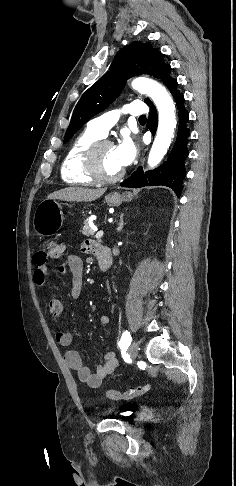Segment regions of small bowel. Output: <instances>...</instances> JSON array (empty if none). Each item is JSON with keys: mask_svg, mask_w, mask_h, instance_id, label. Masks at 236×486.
Instances as JSON below:
<instances>
[{"mask_svg": "<svg viewBox=\"0 0 236 486\" xmlns=\"http://www.w3.org/2000/svg\"><path fill=\"white\" fill-rule=\"evenodd\" d=\"M96 245L97 243L92 240H85L81 244V250L87 254H96ZM83 267L82 259L76 255L69 256L65 263L58 267L60 273H65L67 268L71 272L72 284L69 288V295L73 299L79 298L82 291ZM34 281L40 287H44L47 284V264L41 252L36 256ZM47 307L52 325L59 327L61 324L62 304L56 293L51 295ZM99 321L102 325H108L110 318L106 312H102ZM55 338L60 345L66 348L64 360L67 366L77 373L81 382L86 383L91 388L100 387L104 378L113 373L118 367L116 355L110 351L103 355V363L97 365L94 371H92L84 363L80 353L73 348V335L68 329L62 328L58 330Z\"/></svg>", "mask_w": 236, "mask_h": 486, "instance_id": "small-bowel-1", "label": "small bowel"}]
</instances>
